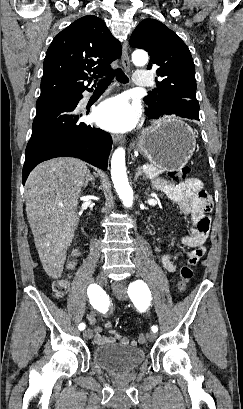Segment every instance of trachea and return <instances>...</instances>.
<instances>
[{
	"instance_id": "obj_1",
	"label": "trachea",
	"mask_w": 243,
	"mask_h": 409,
	"mask_svg": "<svg viewBox=\"0 0 243 409\" xmlns=\"http://www.w3.org/2000/svg\"><path fill=\"white\" fill-rule=\"evenodd\" d=\"M112 76H115L116 80L119 81L120 83L125 84L128 82V77L125 75V73L120 68L116 69ZM110 82H111V77L103 78L98 82V87L108 86Z\"/></svg>"
}]
</instances>
